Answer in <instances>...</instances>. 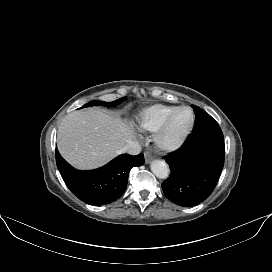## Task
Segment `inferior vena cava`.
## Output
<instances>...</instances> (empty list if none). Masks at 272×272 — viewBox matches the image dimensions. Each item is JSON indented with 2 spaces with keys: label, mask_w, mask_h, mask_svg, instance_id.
<instances>
[{
  "label": "inferior vena cava",
  "mask_w": 272,
  "mask_h": 272,
  "mask_svg": "<svg viewBox=\"0 0 272 272\" xmlns=\"http://www.w3.org/2000/svg\"><path fill=\"white\" fill-rule=\"evenodd\" d=\"M141 152V145L137 141H129L120 150L119 153H128L132 155L139 154Z\"/></svg>",
  "instance_id": "inferior-vena-cava-1"
}]
</instances>
